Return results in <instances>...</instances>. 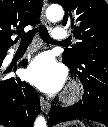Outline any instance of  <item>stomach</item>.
<instances>
[{"label": "stomach", "mask_w": 108, "mask_h": 127, "mask_svg": "<svg viewBox=\"0 0 108 127\" xmlns=\"http://www.w3.org/2000/svg\"><path fill=\"white\" fill-rule=\"evenodd\" d=\"M59 127H86L85 124L80 120H74L70 122L63 123Z\"/></svg>", "instance_id": "obj_1"}]
</instances>
